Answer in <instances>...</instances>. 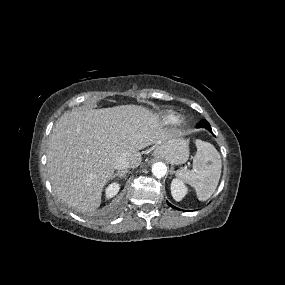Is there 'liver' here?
I'll return each instance as SVG.
<instances>
[{
	"label": "liver",
	"mask_w": 285,
	"mask_h": 285,
	"mask_svg": "<svg viewBox=\"0 0 285 285\" xmlns=\"http://www.w3.org/2000/svg\"><path fill=\"white\" fill-rule=\"evenodd\" d=\"M176 134L156 113L138 105L74 110L63 114L50 134L47 168L56 195L82 213L101 204L104 186L114 175V161L140 165L139 150Z\"/></svg>",
	"instance_id": "6515ba94"
}]
</instances>
